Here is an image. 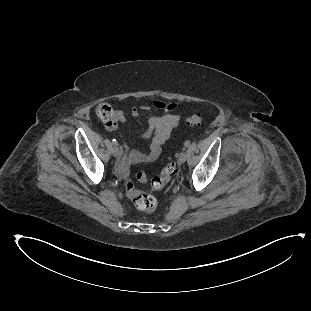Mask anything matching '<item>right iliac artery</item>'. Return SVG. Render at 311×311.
<instances>
[{"label":"right iliac artery","instance_id":"right-iliac-artery-1","mask_svg":"<svg viewBox=\"0 0 311 311\" xmlns=\"http://www.w3.org/2000/svg\"><path fill=\"white\" fill-rule=\"evenodd\" d=\"M112 143H113V145H117L118 144L116 139H113Z\"/></svg>","mask_w":311,"mask_h":311}]
</instances>
